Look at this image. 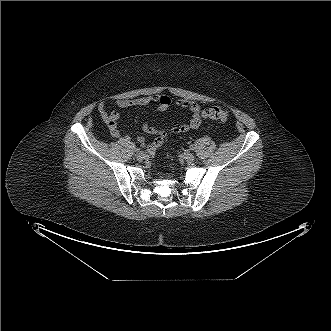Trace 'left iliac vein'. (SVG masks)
<instances>
[{
	"label": "left iliac vein",
	"instance_id": "left-iliac-vein-1",
	"mask_svg": "<svg viewBox=\"0 0 331 331\" xmlns=\"http://www.w3.org/2000/svg\"><path fill=\"white\" fill-rule=\"evenodd\" d=\"M182 157H183V159L186 161V162H189V163H191V162H193L194 160H195V157H194V155L193 154H191V153H184L183 155H182Z\"/></svg>",
	"mask_w": 331,
	"mask_h": 331
}]
</instances>
